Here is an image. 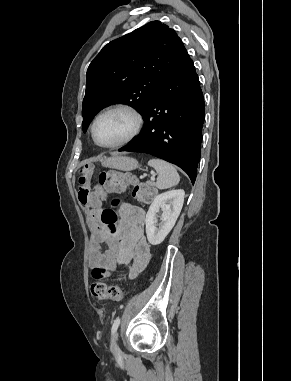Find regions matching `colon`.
<instances>
[{
	"label": "colon",
	"instance_id": "1",
	"mask_svg": "<svg viewBox=\"0 0 291 381\" xmlns=\"http://www.w3.org/2000/svg\"><path fill=\"white\" fill-rule=\"evenodd\" d=\"M80 199L83 203L95 204L99 197L105 192H120L126 188H130L133 199L142 203H151L155 197V189L146 183L135 181L134 179L124 175L123 173L102 172L99 176V185L91 190L86 182V175L83 171L80 173ZM119 201L115 200L114 204ZM102 223L107 226L110 234L116 233V223L118 216L112 209H105L101 214ZM111 273L102 266H96L92 270V276L95 282L91 286L92 295L99 300L119 301L122 297L121 290L118 286L107 285V279Z\"/></svg>",
	"mask_w": 291,
	"mask_h": 381
}]
</instances>
